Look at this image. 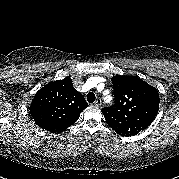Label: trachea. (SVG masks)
<instances>
[{
  "label": "trachea",
  "instance_id": "1",
  "mask_svg": "<svg viewBox=\"0 0 179 179\" xmlns=\"http://www.w3.org/2000/svg\"><path fill=\"white\" fill-rule=\"evenodd\" d=\"M96 97H95V94L93 92H89L87 94V101L89 103H93L95 101Z\"/></svg>",
  "mask_w": 179,
  "mask_h": 179
}]
</instances>
